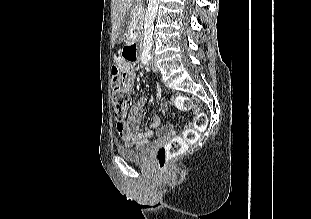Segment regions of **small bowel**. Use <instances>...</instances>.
<instances>
[{"label":"small bowel","instance_id":"c3829d8e","mask_svg":"<svg viewBox=\"0 0 311 219\" xmlns=\"http://www.w3.org/2000/svg\"><path fill=\"white\" fill-rule=\"evenodd\" d=\"M115 65L125 75L126 89L130 91L135 85L136 70L128 60L117 57ZM147 103L146 97H140L135 104L130 106L128 110L127 119L117 122L116 129L119 136L127 145L141 144L153 136L154 130L161 125V117L157 114L150 118L149 128L145 131L139 132V125L141 114L144 106ZM162 110L165 109L164 101H161ZM162 136H168L172 133L169 127L161 128L159 130Z\"/></svg>","mask_w":311,"mask_h":219}]
</instances>
